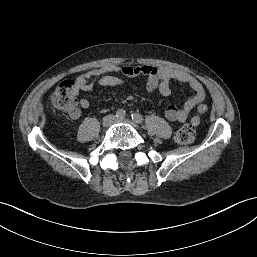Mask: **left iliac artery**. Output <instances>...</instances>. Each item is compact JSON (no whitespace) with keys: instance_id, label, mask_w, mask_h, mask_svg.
I'll return each mask as SVG.
<instances>
[{"instance_id":"1","label":"left iliac artery","mask_w":257,"mask_h":257,"mask_svg":"<svg viewBox=\"0 0 257 257\" xmlns=\"http://www.w3.org/2000/svg\"><path fill=\"white\" fill-rule=\"evenodd\" d=\"M131 118H132V120H134L137 123H142L143 122V117L138 113L132 114Z\"/></svg>"}]
</instances>
